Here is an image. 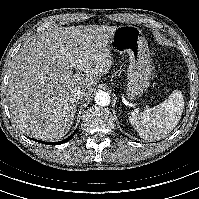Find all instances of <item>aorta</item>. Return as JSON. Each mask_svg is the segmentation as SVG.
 <instances>
[{"mask_svg":"<svg viewBox=\"0 0 199 199\" xmlns=\"http://www.w3.org/2000/svg\"><path fill=\"white\" fill-rule=\"evenodd\" d=\"M110 95L107 92L99 91L95 95V102L99 106H107L110 104Z\"/></svg>","mask_w":199,"mask_h":199,"instance_id":"obj_1","label":"aorta"}]
</instances>
